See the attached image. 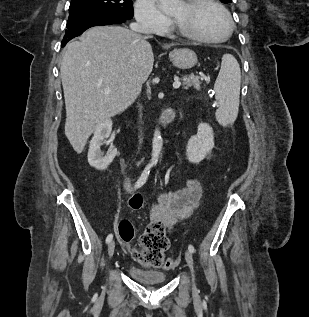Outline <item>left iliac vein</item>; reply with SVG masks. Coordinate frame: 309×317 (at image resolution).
I'll return each instance as SVG.
<instances>
[{
	"instance_id": "left-iliac-vein-1",
	"label": "left iliac vein",
	"mask_w": 309,
	"mask_h": 317,
	"mask_svg": "<svg viewBox=\"0 0 309 317\" xmlns=\"http://www.w3.org/2000/svg\"><path fill=\"white\" fill-rule=\"evenodd\" d=\"M185 260L187 262V265L189 266L191 272H192V276H193V290H196V286L194 284V263H193V257H192V253L190 251H186L185 252Z\"/></svg>"
}]
</instances>
